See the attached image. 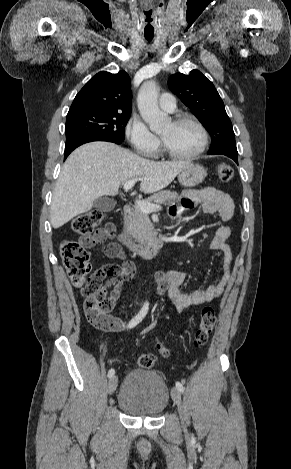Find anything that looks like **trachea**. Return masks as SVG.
Returning <instances> with one entry per match:
<instances>
[{"instance_id":"obj_1","label":"trachea","mask_w":291,"mask_h":469,"mask_svg":"<svg viewBox=\"0 0 291 469\" xmlns=\"http://www.w3.org/2000/svg\"><path fill=\"white\" fill-rule=\"evenodd\" d=\"M146 39L150 41V40H152V37H147V36H146Z\"/></svg>"}]
</instances>
